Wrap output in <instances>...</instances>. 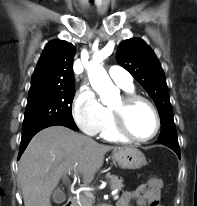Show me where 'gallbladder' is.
<instances>
[{"instance_id":"1","label":"gallbladder","mask_w":197,"mask_h":206,"mask_svg":"<svg viewBox=\"0 0 197 206\" xmlns=\"http://www.w3.org/2000/svg\"><path fill=\"white\" fill-rule=\"evenodd\" d=\"M52 200L56 204L63 203L66 200V195L60 188H56L53 191Z\"/></svg>"}]
</instances>
